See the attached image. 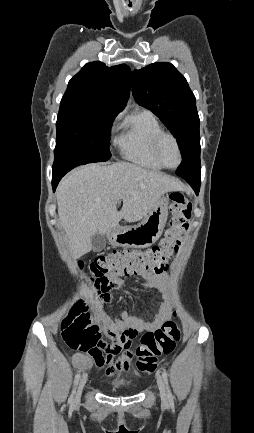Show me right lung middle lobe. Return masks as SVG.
Masks as SVG:
<instances>
[{
    "label": "right lung middle lobe",
    "mask_w": 254,
    "mask_h": 433,
    "mask_svg": "<svg viewBox=\"0 0 254 433\" xmlns=\"http://www.w3.org/2000/svg\"><path fill=\"white\" fill-rule=\"evenodd\" d=\"M116 114L91 105L60 107L54 156L72 155L87 163L110 157V131Z\"/></svg>",
    "instance_id": "dd1d6c3e"
}]
</instances>
